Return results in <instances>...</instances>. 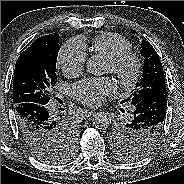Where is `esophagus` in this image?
<instances>
[{
	"instance_id": "34e87169",
	"label": "esophagus",
	"mask_w": 184,
	"mask_h": 184,
	"mask_svg": "<svg viewBox=\"0 0 184 184\" xmlns=\"http://www.w3.org/2000/svg\"><path fill=\"white\" fill-rule=\"evenodd\" d=\"M85 113L88 114V115H90V114L95 113V111H93V110H85Z\"/></svg>"
}]
</instances>
